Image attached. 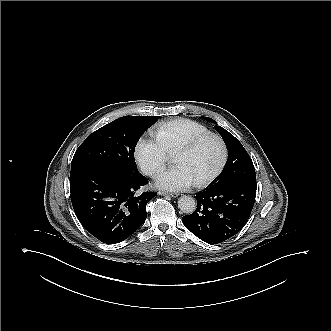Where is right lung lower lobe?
Returning a JSON list of instances; mask_svg holds the SVG:
<instances>
[{
    "label": "right lung lower lobe",
    "instance_id": "98d812e1",
    "mask_svg": "<svg viewBox=\"0 0 331 331\" xmlns=\"http://www.w3.org/2000/svg\"><path fill=\"white\" fill-rule=\"evenodd\" d=\"M148 182L127 179L105 169H87L70 177L71 201L83 227L106 244L119 243L146 220V205L157 193L136 191Z\"/></svg>",
    "mask_w": 331,
    "mask_h": 331
}]
</instances>
